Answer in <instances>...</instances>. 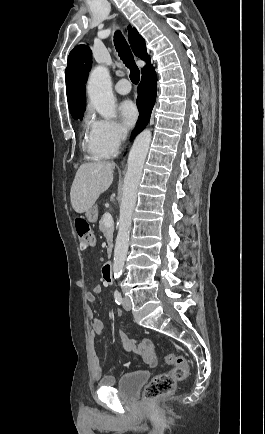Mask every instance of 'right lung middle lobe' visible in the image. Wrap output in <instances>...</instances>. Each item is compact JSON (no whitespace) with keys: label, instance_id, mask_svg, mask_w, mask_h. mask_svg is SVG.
Listing matches in <instances>:
<instances>
[{"label":"right lung middle lobe","instance_id":"obj_1","mask_svg":"<svg viewBox=\"0 0 265 434\" xmlns=\"http://www.w3.org/2000/svg\"><path fill=\"white\" fill-rule=\"evenodd\" d=\"M86 102H75L72 104H69V109L72 117L74 119H82L83 117V111L85 110Z\"/></svg>","mask_w":265,"mask_h":434}]
</instances>
